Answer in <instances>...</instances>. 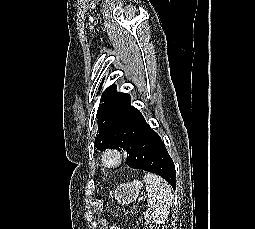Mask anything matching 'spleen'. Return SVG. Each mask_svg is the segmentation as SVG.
<instances>
[{"mask_svg":"<svg viewBox=\"0 0 255 229\" xmlns=\"http://www.w3.org/2000/svg\"><path fill=\"white\" fill-rule=\"evenodd\" d=\"M148 197L144 218L152 223L160 224L167 219L172 205V189L160 176L147 173L144 176Z\"/></svg>","mask_w":255,"mask_h":229,"instance_id":"obj_1","label":"spleen"}]
</instances>
